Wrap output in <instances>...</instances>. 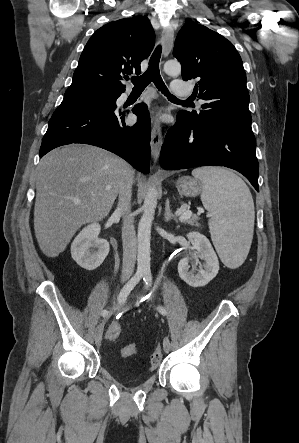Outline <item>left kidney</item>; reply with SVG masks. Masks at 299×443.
Wrapping results in <instances>:
<instances>
[{"label": "left kidney", "instance_id": "1", "mask_svg": "<svg viewBox=\"0 0 299 443\" xmlns=\"http://www.w3.org/2000/svg\"><path fill=\"white\" fill-rule=\"evenodd\" d=\"M188 240L197 251L200 259L204 260L203 267L197 271H189V258H183L178 263V273L188 285L203 287L208 284L219 271L218 257L206 236L199 232L187 234Z\"/></svg>", "mask_w": 299, "mask_h": 443}]
</instances>
